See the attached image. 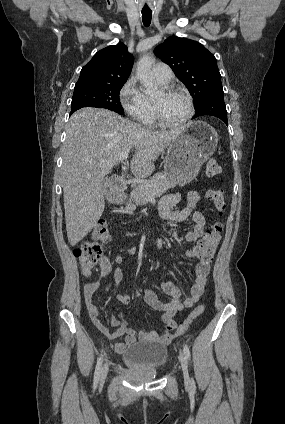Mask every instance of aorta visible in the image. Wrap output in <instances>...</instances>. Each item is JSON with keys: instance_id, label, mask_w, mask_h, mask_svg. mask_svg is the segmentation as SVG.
<instances>
[{"instance_id": "762f6f07", "label": "aorta", "mask_w": 285, "mask_h": 424, "mask_svg": "<svg viewBox=\"0 0 285 424\" xmlns=\"http://www.w3.org/2000/svg\"><path fill=\"white\" fill-rule=\"evenodd\" d=\"M153 63V58L150 55H145L138 61L136 68V77L142 84L143 92L147 96L155 95L158 91L151 73Z\"/></svg>"}]
</instances>
